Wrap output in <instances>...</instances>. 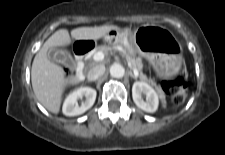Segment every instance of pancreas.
Segmentation results:
<instances>
[{
	"instance_id": "obj_1",
	"label": "pancreas",
	"mask_w": 225,
	"mask_h": 155,
	"mask_svg": "<svg viewBox=\"0 0 225 155\" xmlns=\"http://www.w3.org/2000/svg\"><path fill=\"white\" fill-rule=\"evenodd\" d=\"M110 50H120L122 52V54L126 57V59L128 60V62L130 63L131 65V68L132 69H137L138 72H139V78L142 80V81H145V82H148L150 84H152L159 96H160V99L162 100V102L165 104L166 103V96H165V93L163 92V90L158 87L156 85V83L152 80V79H148L146 77L145 74H143L142 72V69H143V63H142V60L141 58L139 57H136V54H130L128 53L120 44H114L112 47L111 46H107V45H103V46H99L97 48V52L98 51H101L103 53H107L109 52Z\"/></svg>"
}]
</instances>
